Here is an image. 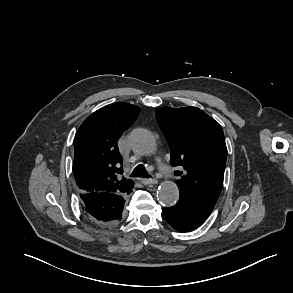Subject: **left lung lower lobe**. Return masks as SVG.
Returning a JSON list of instances; mask_svg holds the SVG:
<instances>
[{
	"label": "left lung lower lobe",
	"mask_w": 293,
	"mask_h": 293,
	"mask_svg": "<svg viewBox=\"0 0 293 293\" xmlns=\"http://www.w3.org/2000/svg\"><path fill=\"white\" fill-rule=\"evenodd\" d=\"M211 211L195 203L179 198V201L169 208H163L164 219L177 231L187 232L201 226Z\"/></svg>",
	"instance_id": "0a47b994"
}]
</instances>
